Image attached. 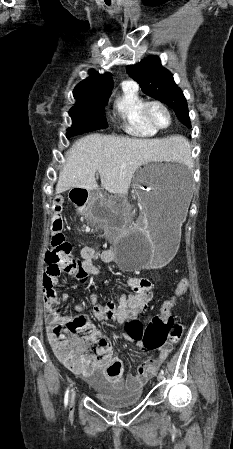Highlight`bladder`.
I'll return each mask as SVG.
<instances>
[{
    "mask_svg": "<svg viewBox=\"0 0 233 449\" xmlns=\"http://www.w3.org/2000/svg\"><path fill=\"white\" fill-rule=\"evenodd\" d=\"M96 399L106 408L121 410L137 405L142 399V390L138 387L116 388L105 382L92 384Z\"/></svg>",
    "mask_w": 233,
    "mask_h": 449,
    "instance_id": "31cf9c89",
    "label": "bladder"
}]
</instances>
